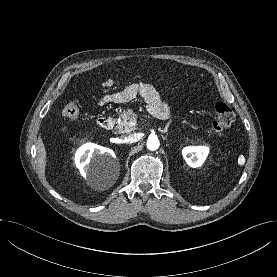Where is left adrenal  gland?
Segmentation results:
<instances>
[{"instance_id":"1","label":"left adrenal gland","mask_w":277,"mask_h":277,"mask_svg":"<svg viewBox=\"0 0 277 277\" xmlns=\"http://www.w3.org/2000/svg\"><path fill=\"white\" fill-rule=\"evenodd\" d=\"M169 125H170V123H167V124H166L165 129L162 130L163 133H166V132H167Z\"/></svg>"}]
</instances>
